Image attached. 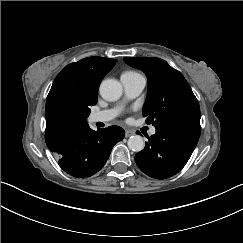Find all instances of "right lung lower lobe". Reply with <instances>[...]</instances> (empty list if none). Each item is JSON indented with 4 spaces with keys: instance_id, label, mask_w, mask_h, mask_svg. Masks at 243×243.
<instances>
[{
    "instance_id": "98d812e1",
    "label": "right lung lower lobe",
    "mask_w": 243,
    "mask_h": 243,
    "mask_svg": "<svg viewBox=\"0 0 243 243\" xmlns=\"http://www.w3.org/2000/svg\"><path fill=\"white\" fill-rule=\"evenodd\" d=\"M125 132L118 126L94 131L88 124L70 129L47 144L59 166L77 178L90 177L106 163L113 146Z\"/></svg>"
}]
</instances>
